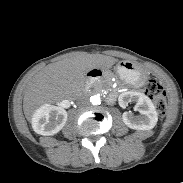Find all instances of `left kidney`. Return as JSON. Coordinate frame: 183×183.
<instances>
[{
    "instance_id": "obj_1",
    "label": "left kidney",
    "mask_w": 183,
    "mask_h": 183,
    "mask_svg": "<svg viewBox=\"0 0 183 183\" xmlns=\"http://www.w3.org/2000/svg\"><path fill=\"white\" fill-rule=\"evenodd\" d=\"M136 102L139 116H134L131 112H124L123 122L131 129L151 130L158 121V114L151 99L140 92L127 91L119 95L120 107L126 108L129 102Z\"/></svg>"
}]
</instances>
